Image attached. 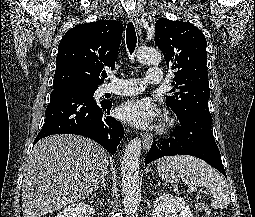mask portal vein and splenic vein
I'll return each mask as SVG.
<instances>
[{
    "instance_id": "portal-vein-and-splenic-vein-1",
    "label": "portal vein and splenic vein",
    "mask_w": 255,
    "mask_h": 217,
    "mask_svg": "<svg viewBox=\"0 0 255 217\" xmlns=\"http://www.w3.org/2000/svg\"><path fill=\"white\" fill-rule=\"evenodd\" d=\"M188 191L193 192V191H194V188L190 187V188L188 189Z\"/></svg>"
}]
</instances>
